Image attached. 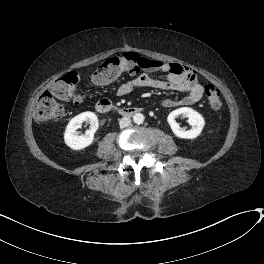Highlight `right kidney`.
<instances>
[{
	"label": "right kidney",
	"mask_w": 264,
	"mask_h": 264,
	"mask_svg": "<svg viewBox=\"0 0 264 264\" xmlns=\"http://www.w3.org/2000/svg\"><path fill=\"white\" fill-rule=\"evenodd\" d=\"M83 122H89L90 128L83 135H78L77 129L81 128ZM99 121L95 113L83 112L70 120L65 133L64 141L73 150H81L92 144L94 133L97 131Z\"/></svg>",
	"instance_id": "obj_1"
}]
</instances>
